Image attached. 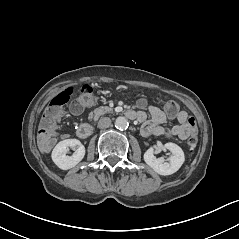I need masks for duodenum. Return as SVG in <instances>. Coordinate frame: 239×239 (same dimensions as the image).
<instances>
[{
	"label": "duodenum",
	"mask_w": 239,
	"mask_h": 239,
	"mask_svg": "<svg viewBox=\"0 0 239 239\" xmlns=\"http://www.w3.org/2000/svg\"><path fill=\"white\" fill-rule=\"evenodd\" d=\"M126 115L131 119L135 117L134 113L130 111H128ZM92 132H93V126L88 123H83L79 125V127L77 128V135L82 139L90 137Z\"/></svg>",
	"instance_id": "1"
}]
</instances>
